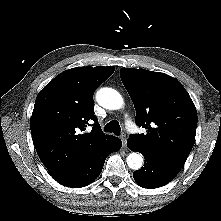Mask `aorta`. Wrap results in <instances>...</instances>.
<instances>
[{
	"instance_id": "762f6f07",
	"label": "aorta",
	"mask_w": 221,
	"mask_h": 221,
	"mask_svg": "<svg viewBox=\"0 0 221 221\" xmlns=\"http://www.w3.org/2000/svg\"><path fill=\"white\" fill-rule=\"evenodd\" d=\"M96 100L102 107L109 110H117L123 106V98L118 91L112 88L104 87L97 91ZM129 168L138 170L143 165V156L133 152L126 158Z\"/></svg>"
}]
</instances>
